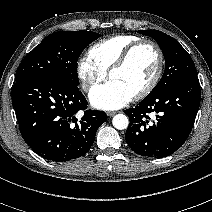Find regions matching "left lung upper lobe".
<instances>
[{
    "instance_id": "left-lung-upper-lobe-1",
    "label": "left lung upper lobe",
    "mask_w": 212,
    "mask_h": 212,
    "mask_svg": "<svg viewBox=\"0 0 212 212\" xmlns=\"http://www.w3.org/2000/svg\"><path fill=\"white\" fill-rule=\"evenodd\" d=\"M138 33L155 39L165 57V72L151 92L161 91L182 79L197 75L192 58L174 38L158 30H140Z\"/></svg>"
}]
</instances>
